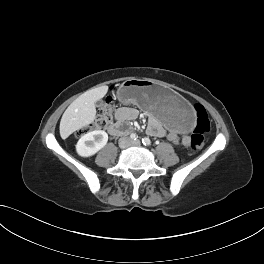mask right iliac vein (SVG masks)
I'll list each match as a JSON object with an SVG mask.
<instances>
[{
	"label": "right iliac vein",
	"mask_w": 264,
	"mask_h": 264,
	"mask_svg": "<svg viewBox=\"0 0 264 264\" xmlns=\"http://www.w3.org/2000/svg\"><path fill=\"white\" fill-rule=\"evenodd\" d=\"M129 144H130V141H129L127 138H125V139H123V140L121 141L120 146H121L122 148H126V147L129 146Z\"/></svg>",
	"instance_id": "right-iliac-vein-1"
}]
</instances>
